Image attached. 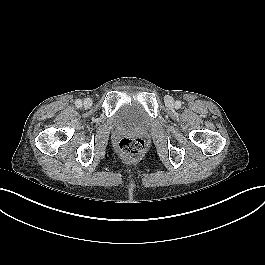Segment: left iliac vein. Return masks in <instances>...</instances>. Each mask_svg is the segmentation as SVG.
<instances>
[{
    "label": "left iliac vein",
    "mask_w": 265,
    "mask_h": 265,
    "mask_svg": "<svg viewBox=\"0 0 265 265\" xmlns=\"http://www.w3.org/2000/svg\"><path fill=\"white\" fill-rule=\"evenodd\" d=\"M165 103H166L167 107H169V108H173L174 107V99L172 97H170V96H167L165 98Z\"/></svg>",
    "instance_id": "1"
}]
</instances>
